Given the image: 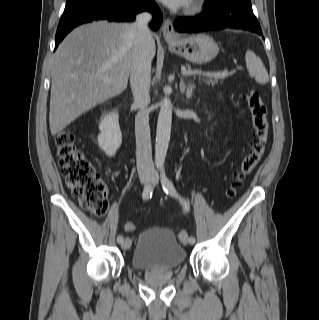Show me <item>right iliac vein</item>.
<instances>
[{"mask_svg": "<svg viewBox=\"0 0 319 320\" xmlns=\"http://www.w3.org/2000/svg\"><path fill=\"white\" fill-rule=\"evenodd\" d=\"M148 181H149V179H148L147 177H145V178L142 179V182H143L144 184H146ZM130 246H131V240H130V238L127 237V238H125V239L123 240V242L121 243V248H122L123 250H127V249L130 248Z\"/></svg>", "mask_w": 319, "mask_h": 320, "instance_id": "obj_1", "label": "right iliac vein"}]
</instances>
